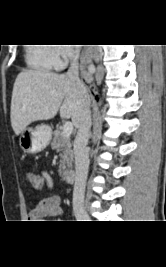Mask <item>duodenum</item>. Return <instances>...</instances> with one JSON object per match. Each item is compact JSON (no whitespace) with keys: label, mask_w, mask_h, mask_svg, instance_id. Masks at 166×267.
I'll list each match as a JSON object with an SVG mask.
<instances>
[{"label":"duodenum","mask_w":166,"mask_h":267,"mask_svg":"<svg viewBox=\"0 0 166 267\" xmlns=\"http://www.w3.org/2000/svg\"><path fill=\"white\" fill-rule=\"evenodd\" d=\"M64 177L67 182L72 183L75 181L76 171L74 169H69L65 172Z\"/></svg>","instance_id":"410a0bca"}]
</instances>
